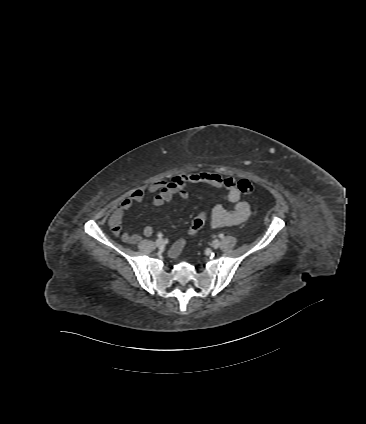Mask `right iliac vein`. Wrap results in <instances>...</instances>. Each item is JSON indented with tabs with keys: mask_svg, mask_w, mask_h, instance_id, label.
I'll list each match as a JSON object with an SVG mask.
<instances>
[{
	"mask_svg": "<svg viewBox=\"0 0 366 424\" xmlns=\"http://www.w3.org/2000/svg\"><path fill=\"white\" fill-rule=\"evenodd\" d=\"M155 244H156L157 247H164L165 241L163 239L159 238V239L156 240Z\"/></svg>",
	"mask_w": 366,
	"mask_h": 424,
	"instance_id": "63e3f726",
	"label": "right iliac vein"
}]
</instances>
